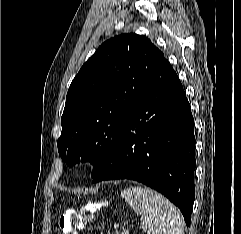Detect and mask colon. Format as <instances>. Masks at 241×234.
Here are the masks:
<instances>
[{
	"label": "colon",
	"instance_id": "obj_1",
	"mask_svg": "<svg viewBox=\"0 0 241 234\" xmlns=\"http://www.w3.org/2000/svg\"><path fill=\"white\" fill-rule=\"evenodd\" d=\"M95 206L83 211H68L59 220V227L62 234H77L85 224L92 218Z\"/></svg>",
	"mask_w": 241,
	"mask_h": 234
}]
</instances>
